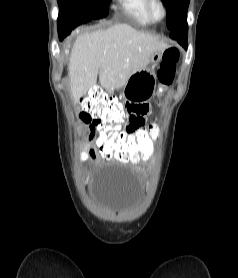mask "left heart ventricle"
<instances>
[{"label":"left heart ventricle","instance_id":"1","mask_svg":"<svg viewBox=\"0 0 238 278\" xmlns=\"http://www.w3.org/2000/svg\"><path fill=\"white\" fill-rule=\"evenodd\" d=\"M153 14L156 18H160L162 16V9L158 4L153 5Z\"/></svg>","mask_w":238,"mask_h":278}]
</instances>
